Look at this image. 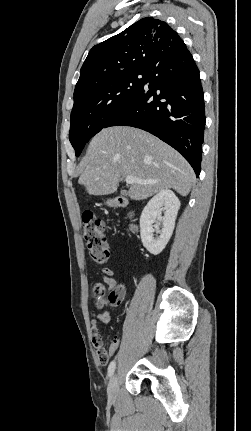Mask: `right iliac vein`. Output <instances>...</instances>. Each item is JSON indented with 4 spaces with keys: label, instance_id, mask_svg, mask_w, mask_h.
I'll list each match as a JSON object with an SVG mask.
<instances>
[{
    "label": "right iliac vein",
    "instance_id": "right-iliac-vein-1",
    "mask_svg": "<svg viewBox=\"0 0 251 431\" xmlns=\"http://www.w3.org/2000/svg\"><path fill=\"white\" fill-rule=\"evenodd\" d=\"M118 385H119V377L118 374H114L108 384V397L111 401H114L117 397L118 393Z\"/></svg>",
    "mask_w": 251,
    "mask_h": 431
}]
</instances>
